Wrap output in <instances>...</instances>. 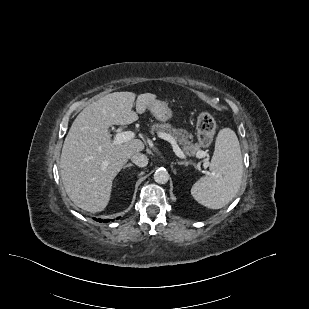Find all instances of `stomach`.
I'll list each match as a JSON object with an SVG mask.
<instances>
[{
    "label": "stomach",
    "mask_w": 309,
    "mask_h": 309,
    "mask_svg": "<svg viewBox=\"0 0 309 309\" xmlns=\"http://www.w3.org/2000/svg\"><path fill=\"white\" fill-rule=\"evenodd\" d=\"M149 110L157 120L162 122H166L173 117V112L166 102L156 100L150 104Z\"/></svg>",
    "instance_id": "obj_1"
}]
</instances>
